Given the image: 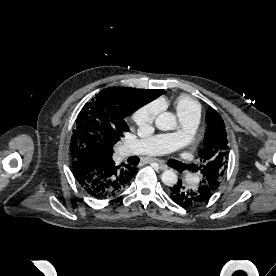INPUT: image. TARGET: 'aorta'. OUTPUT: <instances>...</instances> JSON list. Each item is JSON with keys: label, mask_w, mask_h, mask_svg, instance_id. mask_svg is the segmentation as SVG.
<instances>
[{"label": "aorta", "mask_w": 276, "mask_h": 276, "mask_svg": "<svg viewBox=\"0 0 276 276\" xmlns=\"http://www.w3.org/2000/svg\"><path fill=\"white\" fill-rule=\"evenodd\" d=\"M155 125L162 131L174 130L177 127L176 116L171 112H163L157 116ZM161 180L167 186H174L178 176L173 170H166L162 173Z\"/></svg>", "instance_id": "aorta-1"}]
</instances>
